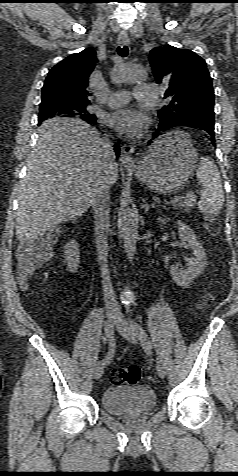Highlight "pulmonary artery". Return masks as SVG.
<instances>
[{
	"label": "pulmonary artery",
	"mask_w": 238,
	"mask_h": 476,
	"mask_svg": "<svg viewBox=\"0 0 238 476\" xmlns=\"http://www.w3.org/2000/svg\"><path fill=\"white\" fill-rule=\"evenodd\" d=\"M158 88L151 84H138L135 87L134 97L142 101H151L157 98ZM131 99V93L125 90L112 92L105 103L111 107H119L125 105Z\"/></svg>",
	"instance_id": "e3ab8cb5"
}]
</instances>
